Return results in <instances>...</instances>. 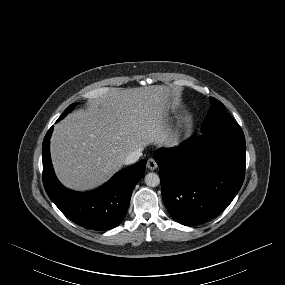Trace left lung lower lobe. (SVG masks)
I'll list each match as a JSON object with an SVG mask.
<instances>
[{"label":"left lung lower lobe","mask_w":285,"mask_h":285,"mask_svg":"<svg viewBox=\"0 0 285 285\" xmlns=\"http://www.w3.org/2000/svg\"><path fill=\"white\" fill-rule=\"evenodd\" d=\"M242 130L206 132L177 148H160L162 198L170 215L193 226L217 216L232 202L245 177Z\"/></svg>","instance_id":"1"}]
</instances>
